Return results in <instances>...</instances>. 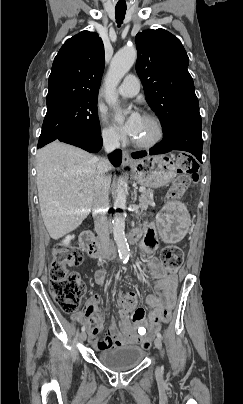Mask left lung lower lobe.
<instances>
[{
    "label": "left lung lower lobe",
    "mask_w": 243,
    "mask_h": 404,
    "mask_svg": "<svg viewBox=\"0 0 243 404\" xmlns=\"http://www.w3.org/2000/svg\"><path fill=\"white\" fill-rule=\"evenodd\" d=\"M202 120L201 117H183L175 120L164 130V139L149 150L132 153L133 158L162 154L171 150H182L192 153L202 162Z\"/></svg>",
    "instance_id": "obj_1"
}]
</instances>
